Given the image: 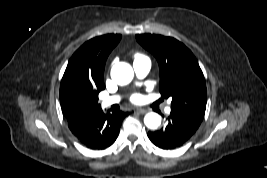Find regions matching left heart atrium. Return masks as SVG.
<instances>
[{"instance_id":"obj_1","label":"left heart atrium","mask_w":267,"mask_h":178,"mask_svg":"<svg viewBox=\"0 0 267 178\" xmlns=\"http://www.w3.org/2000/svg\"><path fill=\"white\" fill-rule=\"evenodd\" d=\"M130 99H131L132 102L137 103V102L141 101L142 97H141L140 94L134 93V94L131 95Z\"/></svg>"}]
</instances>
